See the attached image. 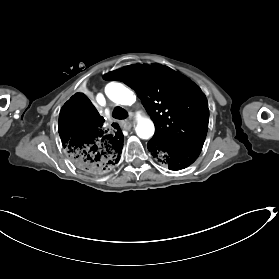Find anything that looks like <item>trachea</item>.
I'll use <instances>...</instances> for the list:
<instances>
[{
	"label": "trachea",
	"instance_id": "1",
	"mask_svg": "<svg viewBox=\"0 0 279 279\" xmlns=\"http://www.w3.org/2000/svg\"><path fill=\"white\" fill-rule=\"evenodd\" d=\"M113 117L119 120L125 119L128 117V112L122 107L117 106L113 110Z\"/></svg>",
	"mask_w": 279,
	"mask_h": 279
}]
</instances>
